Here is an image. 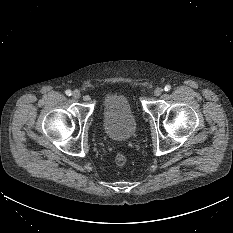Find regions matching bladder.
<instances>
[{"label": "bladder", "mask_w": 233, "mask_h": 233, "mask_svg": "<svg viewBox=\"0 0 233 233\" xmlns=\"http://www.w3.org/2000/svg\"><path fill=\"white\" fill-rule=\"evenodd\" d=\"M102 130L115 141H127L135 136L137 121L125 94L111 93L105 97Z\"/></svg>", "instance_id": "obj_1"}]
</instances>
